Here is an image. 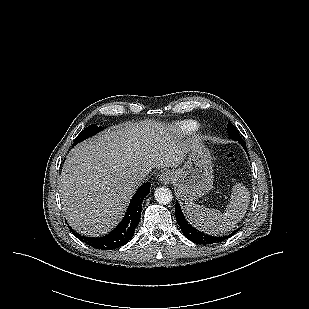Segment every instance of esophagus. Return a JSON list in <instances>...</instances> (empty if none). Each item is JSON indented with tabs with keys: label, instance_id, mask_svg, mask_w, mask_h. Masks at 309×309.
Listing matches in <instances>:
<instances>
[{
	"label": "esophagus",
	"instance_id": "esophagus-1",
	"mask_svg": "<svg viewBox=\"0 0 309 309\" xmlns=\"http://www.w3.org/2000/svg\"><path fill=\"white\" fill-rule=\"evenodd\" d=\"M173 179V175L171 172L169 171H163L160 175L158 180L160 181V183L162 184H169L171 182V180Z\"/></svg>",
	"mask_w": 309,
	"mask_h": 309
}]
</instances>
